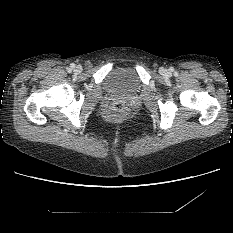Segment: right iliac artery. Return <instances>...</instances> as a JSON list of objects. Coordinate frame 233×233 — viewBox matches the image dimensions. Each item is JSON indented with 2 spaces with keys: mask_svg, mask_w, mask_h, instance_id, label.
I'll return each mask as SVG.
<instances>
[{
  "mask_svg": "<svg viewBox=\"0 0 233 233\" xmlns=\"http://www.w3.org/2000/svg\"><path fill=\"white\" fill-rule=\"evenodd\" d=\"M71 69H73L74 67H75V65L74 64H71ZM71 69H69V71H71Z\"/></svg>",
  "mask_w": 233,
  "mask_h": 233,
  "instance_id": "obj_1",
  "label": "right iliac artery"
}]
</instances>
